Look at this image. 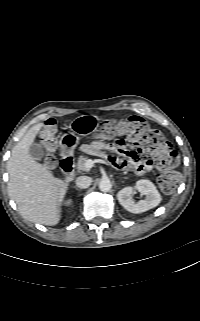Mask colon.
<instances>
[{"instance_id":"colon-1","label":"colon","mask_w":200,"mask_h":321,"mask_svg":"<svg viewBox=\"0 0 200 321\" xmlns=\"http://www.w3.org/2000/svg\"><path fill=\"white\" fill-rule=\"evenodd\" d=\"M55 132V123L48 120L41 133V140L46 150L45 162L49 167L55 165L53 155L57 146ZM117 134L123 137L121 145L125 147L126 143L131 142L134 145V151L131 152L151 158L157 163V182L163 192L172 193L177 188L180 179L176 169L179 156L159 130L151 127L140 117H132L117 125L108 121L100 124L98 136L102 140L114 141Z\"/></svg>"}]
</instances>
